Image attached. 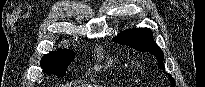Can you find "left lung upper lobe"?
<instances>
[{
  "instance_id": "1",
  "label": "left lung upper lobe",
  "mask_w": 205,
  "mask_h": 87,
  "mask_svg": "<svg viewBox=\"0 0 205 87\" xmlns=\"http://www.w3.org/2000/svg\"><path fill=\"white\" fill-rule=\"evenodd\" d=\"M153 34L148 28L129 29L121 32L113 38V41L119 44L130 46L138 51L150 52L156 56L160 68H164V54L160 47L153 41ZM171 86L175 87V81L169 75Z\"/></svg>"
}]
</instances>
